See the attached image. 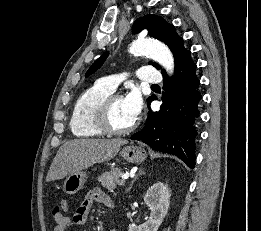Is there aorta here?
Instances as JSON below:
<instances>
[{
	"label": "aorta",
	"instance_id": "1",
	"mask_svg": "<svg viewBox=\"0 0 261 231\" xmlns=\"http://www.w3.org/2000/svg\"><path fill=\"white\" fill-rule=\"evenodd\" d=\"M130 53L149 56L162 65L169 73L174 71L173 55L170 49L162 43L149 40H137L130 46Z\"/></svg>",
	"mask_w": 261,
	"mask_h": 231
}]
</instances>
